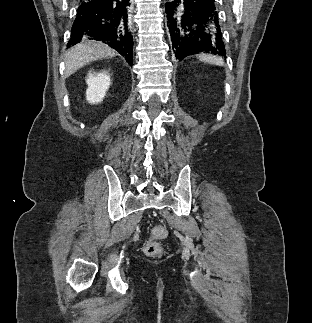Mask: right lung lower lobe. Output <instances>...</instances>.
<instances>
[{
    "instance_id": "1",
    "label": "right lung lower lobe",
    "mask_w": 312,
    "mask_h": 323,
    "mask_svg": "<svg viewBox=\"0 0 312 323\" xmlns=\"http://www.w3.org/2000/svg\"><path fill=\"white\" fill-rule=\"evenodd\" d=\"M130 0H80L67 47L82 37L102 41L133 64Z\"/></svg>"
}]
</instances>
